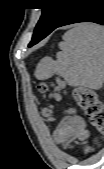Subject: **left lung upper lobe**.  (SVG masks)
<instances>
[{
  "mask_svg": "<svg viewBox=\"0 0 104 169\" xmlns=\"http://www.w3.org/2000/svg\"><path fill=\"white\" fill-rule=\"evenodd\" d=\"M46 2L50 6L42 8V15L34 31H53L77 4V0H46Z\"/></svg>",
  "mask_w": 104,
  "mask_h": 169,
  "instance_id": "5c2ea615",
  "label": "left lung upper lobe"
}]
</instances>
